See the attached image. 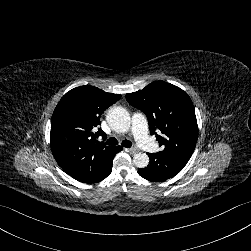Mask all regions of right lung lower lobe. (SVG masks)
Instances as JSON below:
<instances>
[{
  "label": "right lung lower lobe",
  "instance_id": "right-lung-lower-lobe-1",
  "mask_svg": "<svg viewBox=\"0 0 251 251\" xmlns=\"http://www.w3.org/2000/svg\"><path fill=\"white\" fill-rule=\"evenodd\" d=\"M122 150V147L117 146V153L120 152ZM112 171V162L109 164V166L107 167L106 171L103 172V174H101L98 178H96L95 180H93L92 182L89 183H96L99 182L103 179H105Z\"/></svg>",
  "mask_w": 251,
  "mask_h": 251
}]
</instances>
